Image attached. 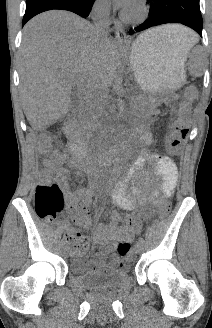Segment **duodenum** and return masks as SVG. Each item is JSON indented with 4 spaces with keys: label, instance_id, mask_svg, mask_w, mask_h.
I'll return each mask as SVG.
<instances>
[{
    "label": "duodenum",
    "instance_id": "410a0bca",
    "mask_svg": "<svg viewBox=\"0 0 212 328\" xmlns=\"http://www.w3.org/2000/svg\"><path fill=\"white\" fill-rule=\"evenodd\" d=\"M64 131L70 139L71 148L76 160L82 168H85L86 165L84 163V158L86 153V145L83 138L76 131L74 116L69 118L64 123Z\"/></svg>",
    "mask_w": 212,
    "mask_h": 328
}]
</instances>
